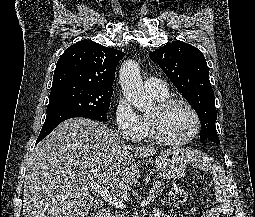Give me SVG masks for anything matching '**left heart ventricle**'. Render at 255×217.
I'll return each mask as SVG.
<instances>
[{"mask_svg":"<svg viewBox=\"0 0 255 217\" xmlns=\"http://www.w3.org/2000/svg\"><path fill=\"white\" fill-rule=\"evenodd\" d=\"M150 115L156 116L155 108ZM163 134L171 139H185L195 128V119L191 111L183 104H175L158 116Z\"/></svg>","mask_w":255,"mask_h":217,"instance_id":"left-heart-ventricle-1","label":"left heart ventricle"}]
</instances>
